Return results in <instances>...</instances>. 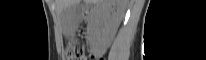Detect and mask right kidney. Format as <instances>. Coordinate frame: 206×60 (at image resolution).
Here are the masks:
<instances>
[{
  "instance_id": "right-kidney-1",
  "label": "right kidney",
  "mask_w": 206,
  "mask_h": 60,
  "mask_svg": "<svg viewBox=\"0 0 206 60\" xmlns=\"http://www.w3.org/2000/svg\"><path fill=\"white\" fill-rule=\"evenodd\" d=\"M123 13L120 0H104L96 5L89 33V42L93 48L105 50L110 45Z\"/></svg>"
}]
</instances>
